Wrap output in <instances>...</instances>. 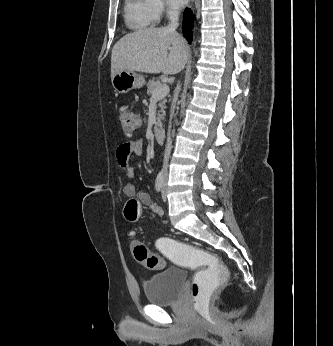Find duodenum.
I'll list each match as a JSON object with an SVG mask.
<instances>
[{
	"label": "duodenum",
	"mask_w": 333,
	"mask_h": 346,
	"mask_svg": "<svg viewBox=\"0 0 333 346\" xmlns=\"http://www.w3.org/2000/svg\"><path fill=\"white\" fill-rule=\"evenodd\" d=\"M155 139L158 143H162L165 139V130L163 127H157L154 131Z\"/></svg>",
	"instance_id": "obj_1"
}]
</instances>
